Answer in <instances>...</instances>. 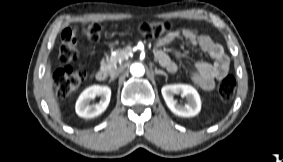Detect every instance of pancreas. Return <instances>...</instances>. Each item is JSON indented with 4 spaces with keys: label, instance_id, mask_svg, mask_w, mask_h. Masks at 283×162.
Instances as JSON below:
<instances>
[{
    "label": "pancreas",
    "instance_id": "obj_1",
    "mask_svg": "<svg viewBox=\"0 0 283 162\" xmlns=\"http://www.w3.org/2000/svg\"><path fill=\"white\" fill-rule=\"evenodd\" d=\"M128 54V51L125 49H118L112 54L110 57L107 58L106 62L104 63L105 67L109 72L114 71L117 68L118 63L124 61L125 56Z\"/></svg>",
    "mask_w": 283,
    "mask_h": 162
}]
</instances>
